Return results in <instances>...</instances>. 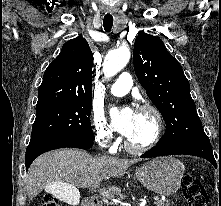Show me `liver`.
<instances>
[{"label":"liver","instance_id":"6515ba94","mask_svg":"<svg viewBox=\"0 0 221 206\" xmlns=\"http://www.w3.org/2000/svg\"><path fill=\"white\" fill-rule=\"evenodd\" d=\"M138 159H119L114 157H92L78 149H62L47 152L31 165L25 179V187L30 199L43 189L49 191L53 185H64L66 190L78 192V188L98 186L108 177L119 178ZM113 194H120L121 188L109 186Z\"/></svg>","mask_w":221,"mask_h":206}]
</instances>
